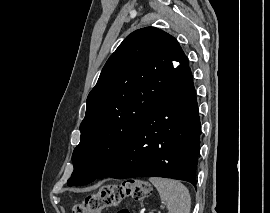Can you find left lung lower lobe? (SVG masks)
Returning a JSON list of instances; mask_svg holds the SVG:
<instances>
[{"mask_svg":"<svg viewBox=\"0 0 270 213\" xmlns=\"http://www.w3.org/2000/svg\"><path fill=\"white\" fill-rule=\"evenodd\" d=\"M200 127L196 92L188 67L138 124L101 178L157 176L185 180L196 187Z\"/></svg>","mask_w":270,"mask_h":213,"instance_id":"0a47b994","label":"left lung lower lobe"}]
</instances>
